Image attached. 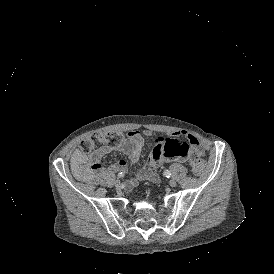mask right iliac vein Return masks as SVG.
<instances>
[{"instance_id": "63e3f726", "label": "right iliac vein", "mask_w": 274, "mask_h": 274, "mask_svg": "<svg viewBox=\"0 0 274 274\" xmlns=\"http://www.w3.org/2000/svg\"><path fill=\"white\" fill-rule=\"evenodd\" d=\"M114 185L118 188V187L121 185L120 180L117 179V180L115 181Z\"/></svg>"}]
</instances>
